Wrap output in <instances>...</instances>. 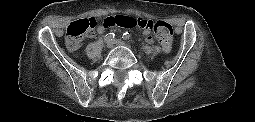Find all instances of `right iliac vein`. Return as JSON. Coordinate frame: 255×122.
<instances>
[{
  "instance_id": "right-iliac-vein-1",
  "label": "right iliac vein",
  "mask_w": 255,
  "mask_h": 122,
  "mask_svg": "<svg viewBox=\"0 0 255 122\" xmlns=\"http://www.w3.org/2000/svg\"><path fill=\"white\" fill-rule=\"evenodd\" d=\"M112 47H113V42L107 43V48H108V49H111Z\"/></svg>"
}]
</instances>
